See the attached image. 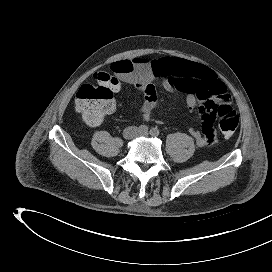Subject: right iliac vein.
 <instances>
[{"label": "right iliac vein", "instance_id": "63e3f726", "mask_svg": "<svg viewBox=\"0 0 272 272\" xmlns=\"http://www.w3.org/2000/svg\"><path fill=\"white\" fill-rule=\"evenodd\" d=\"M136 134V129L135 128H130L125 132L126 138L130 139Z\"/></svg>", "mask_w": 272, "mask_h": 272}]
</instances>
